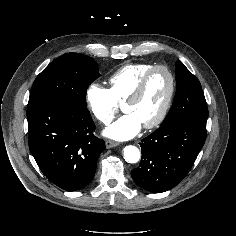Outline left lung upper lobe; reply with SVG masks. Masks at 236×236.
<instances>
[{"instance_id": "1", "label": "left lung upper lobe", "mask_w": 236, "mask_h": 236, "mask_svg": "<svg viewBox=\"0 0 236 236\" xmlns=\"http://www.w3.org/2000/svg\"><path fill=\"white\" fill-rule=\"evenodd\" d=\"M176 81L173 105L161 125L182 118L207 120L208 108L201 84L179 60L176 62Z\"/></svg>"}]
</instances>
